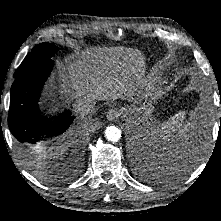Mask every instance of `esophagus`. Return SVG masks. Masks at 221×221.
I'll return each mask as SVG.
<instances>
[{"instance_id":"1","label":"esophagus","mask_w":221,"mask_h":221,"mask_svg":"<svg viewBox=\"0 0 221 221\" xmlns=\"http://www.w3.org/2000/svg\"><path fill=\"white\" fill-rule=\"evenodd\" d=\"M119 115H120L119 110H117L116 108H113L107 112L106 117L109 121H114L115 119H117L119 117Z\"/></svg>"}]
</instances>
